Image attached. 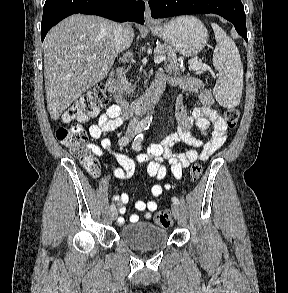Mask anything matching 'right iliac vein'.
Returning <instances> with one entry per match:
<instances>
[{
    "label": "right iliac vein",
    "mask_w": 288,
    "mask_h": 293,
    "mask_svg": "<svg viewBox=\"0 0 288 293\" xmlns=\"http://www.w3.org/2000/svg\"><path fill=\"white\" fill-rule=\"evenodd\" d=\"M118 216V211L115 209L113 211H111V218L112 220H115Z\"/></svg>",
    "instance_id": "63e3f726"
}]
</instances>
